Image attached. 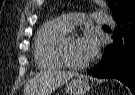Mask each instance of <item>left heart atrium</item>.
<instances>
[{"mask_svg": "<svg viewBox=\"0 0 135 95\" xmlns=\"http://www.w3.org/2000/svg\"><path fill=\"white\" fill-rule=\"evenodd\" d=\"M80 51L83 58L88 61L91 60L98 51V41L95 35L88 33L80 38Z\"/></svg>", "mask_w": 135, "mask_h": 95, "instance_id": "1", "label": "left heart atrium"}]
</instances>
